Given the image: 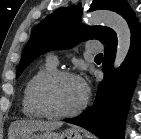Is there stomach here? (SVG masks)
Wrapping results in <instances>:
<instances>
[{"label": "stomach", "instance_id": "1", "mask_svg": "<svg viewBox=\"0 0 141 139\" xmlns=\"http://www.w3.org/2000/svg\"><path fill=\"white\" fill-rule=\"evenodd\" d=\"M18 139H84V136L76 129H68L57 133L54 131H43L41 133H28Z\"/></svg>", "mask_w": 141, "mask_h": 139}]
</instances>
